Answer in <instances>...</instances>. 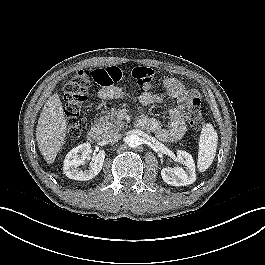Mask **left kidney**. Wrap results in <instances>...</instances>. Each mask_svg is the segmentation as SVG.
<instances>
[{
	"label": "left kidney",
	"instance_id": "left-kidney-1",
	"mask_svg": "<svg viewBox=\"0 0 265 265\" xmlns=\"http://www.w3.org/2000/svg\"><path fill=\"white\" fill-rule=\"evenodd\" d=\"M179 162L186 166V171L180 167L163 168L161 176L164 182L172 186L190 185L196 180L195 163L192 156L182 150L177 151Z\"/></svg>",
	"mask_w": 265,
	"mask_h": 265
}]
</instances>
